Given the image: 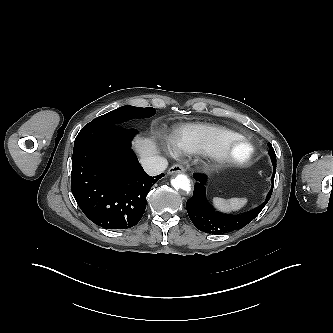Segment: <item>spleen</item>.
<instances>
[{"mask_svg":"<svg viewBox=\"0 0 333 333\" xmlns=\"http://www.w3.org/2000/svg\"><path fill=\"white\" fill-rule=\"evenodd\" d=\"M247 201V198H231L227 200L218 197L213 198L214 206L218 210L226 213L240 210L246 205Z\"/></svg>","mask_w":333,"mask_h":333,"instance_id":"3e777b00","label":"spleen"}]
</instances>
